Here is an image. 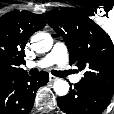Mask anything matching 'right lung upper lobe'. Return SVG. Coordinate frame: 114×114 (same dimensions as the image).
<instances>
[{
	"mask_svg": "<svg viewBox=\"0 0 114 114\" xmlns=\"http://www.w3.org/2000/svg\"><path fill=\"white\" fill-rule=\"evenodd\" d=\"M46 21L40 14L12 11L0 17V80L26 74L24 48L30 36Z\"/></svg>",
	"mask_w": 114,
	"mask_h": 114,
	"instance_id": "cb5924a9",
	"label": "right lung upper lobe"
}]
</instances>
